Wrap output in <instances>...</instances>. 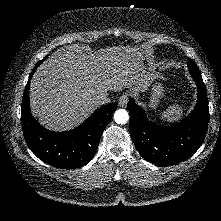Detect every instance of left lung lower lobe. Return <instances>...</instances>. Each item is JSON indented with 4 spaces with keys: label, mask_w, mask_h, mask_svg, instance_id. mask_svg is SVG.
<instances>
[{
    "label": "left lung lower lobe",
    "mask_w": 221,
    "mask_h": 221,
    "mask_svg": "<svg viewBox=\"0 0 221 221\" xmlns=\"http://www.w3.org/2000/svg\"><path fill=\"white\" fill-rule=\"evenodd\" d=\"M198 87L195 109L182 122L172 126H159L149 121L145 111L130 99V135L140 155L158 166H170L192 156L206 135L209 110L202 77H193Z\"/></svg>",
    "instance_id": "0a47b994"
}]
</instances>
